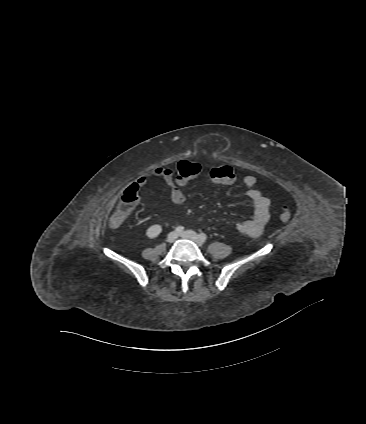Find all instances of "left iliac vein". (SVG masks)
I'll return each instance as SVG.
<instances>
[{
    "instance_id": "1",
    "label": "left iliac vein",
    "mask_w": 366,
    "mask_h": 424,
    "mask_svg": "<svg viewBox=\"0 0 366 424\" xmlns=\"http://www.w3.org/2000/svg\"><path fill=\"white\" fill-rule=\"evenodd\" d=\"M179 236L182 237V238H184V239L192 240L198 246H202L203 245V240L197 235L196 232H194L192 230L183 231V232H181L179 234Z\"/></svg>"
}]
</instances>
